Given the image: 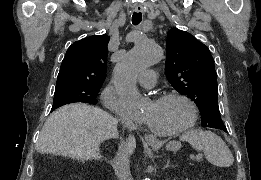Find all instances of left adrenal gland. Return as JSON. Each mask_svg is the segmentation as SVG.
Wrapping results in <instances>:
<instances>
[{
    "label": "left adrenal gland",
    "mask_w": 261,
    "mask_h": 180,
    "mask_svg": "<svg viewBox=\"0 0 261 180\" xmlns=\"http://www.w3.org/2000/svg\"><path fill=\"white\" fill-rule=\"evenodd\" d=\"M165 162V166L163 168V170H165V168H170L171 164H170V160H164Z\"/></svg>",
    "instance_id": "obj_1"
}]
</instances>
